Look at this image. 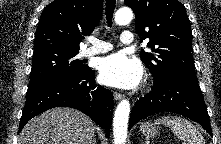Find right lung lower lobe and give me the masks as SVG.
Returning a JSON list of instances; mask_svg holds the SVG:
<instances>
[{
    "label": "right lung lower lobe",
    "instance_id": "1",
    "mask_svg": "<svg viewBox=\"0 0 221 144\" xmlns=\"http://www.w3.org/2000/svg\"><path fill=\"white\" fill-rule=\"evenodd\" d=\"M53 107L77 109L102 126L106 136L110 133L113 95L95 83V72L90 68L55 75L28 87L19 132L31 118Z\"/></svg>",
    "mask_w": 221,
    "mask_h": 144
}]
</instances>
